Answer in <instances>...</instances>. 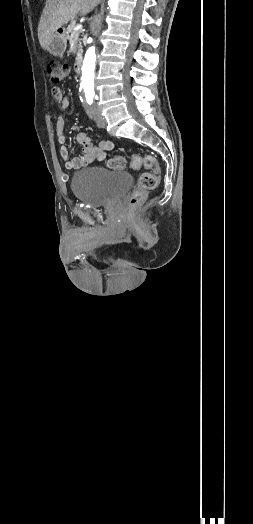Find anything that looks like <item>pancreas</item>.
I'll use <instances>...</instances> for the list:
<instances>
[{"label": "pancreas", "instance_id": "pancreas-1", "mask_svg": "<svg viewBox=\"0 0 253 524\" xmlns=\"http://www.w3.org/2000/svg\"><path fill=\"white\" fill-rule=\"evenodd\" d=\"M76 26V21L73 20L71 21V23L68 25L67 27V31H66V34H67V38L69 39L70 37L74 36V37H78L79 34H80V31H74V27ZM78 48L80 49L81 48V45L79 44L78 45ZM81 53V50H79V53Z\"/></svg>", "mask_w": 253, "mask_h": 524}]
</instances>
